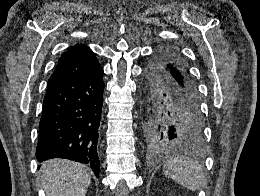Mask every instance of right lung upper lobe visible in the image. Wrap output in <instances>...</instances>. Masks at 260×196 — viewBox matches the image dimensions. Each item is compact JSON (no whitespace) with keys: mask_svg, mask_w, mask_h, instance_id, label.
Here are the masks:
<instances>
[{"mask_svg":"<svg viewBox=\"0 0 260 196\" xmlns=\"http://www.w3.org/2000/svg\"><path fill=\"white\" fill-rule=\"evenodd\" d=\"M102 70L103 67L90 48L84 44H77L67 49L60 57L54 73L48 80L47 89L68 81L86 79Z\"/></svg>","mask_w":260,"mask_h":196,"instance_id":"cb5924a9","label":"right lung upper lobe"}]
</instances>
